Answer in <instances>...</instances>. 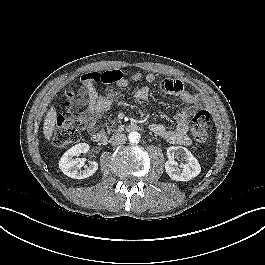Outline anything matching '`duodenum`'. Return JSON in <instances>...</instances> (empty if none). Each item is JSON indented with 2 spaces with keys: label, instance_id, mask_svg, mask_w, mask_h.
I'll return each mask as SVG.
<instances>
[{
  "label": "duodenum",
  "instance_id": "410a0bca",
  "mask_svg": "<svg viewBox=\"0 0 265 265\" xmlns=\"http://www.w3.org/2000/svg\"><path fill=\"white\" fill-rule=\"evenodd\" d=\"M127 129L129 131H139L142 129V127L138 124H131L127 126ZM91 139L95 144H105L107 142V136L104 133L101 132H94L91 135Z\"/></svg>",
  "mask_w": 265,
  "mask_h": 265
}]
</instances>
